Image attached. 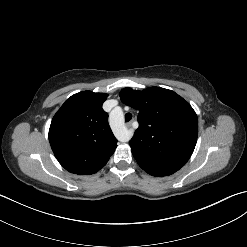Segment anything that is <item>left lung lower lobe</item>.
I'll return each mask as SVG.
<instances>
[{
    "label": "left lung lower lobe",
    "mask_w": 247,
    "mask_h": 247,
    "mask_svg": "<svg viewBox=\"0 0 247 247\" xmlns=\"http://www.w3.org/2000/svg\"><path fill=\"white\" fill-rule=\"evenodd\" d=\"M147 172V171H146ZM147 173H149V174H151V175H153V176H159V175H156V174H153V173H150V172H147Z\"/></svg>",
    "instance_id": "1"
}]
</instances>
